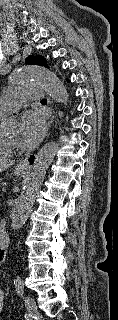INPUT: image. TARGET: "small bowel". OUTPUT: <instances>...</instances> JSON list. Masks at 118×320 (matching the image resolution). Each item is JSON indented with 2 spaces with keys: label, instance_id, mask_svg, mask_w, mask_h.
<instances>
[{
  "label": "small bowel",
  "instance_id": "small-bowel-1",
  "mask_svg": "<svg viewBox=\"0 0 118 320\" xmlns=\"http://www.w3.org/2000/svg\"><path fill=\"white\" fill-rule=\"evenodd\" d=\"M4 309V293L2 290V286L0 284V313L3 311Z\"/></svg>",
  "mask_w": 118,
  "mask_h": 320
}]
</instances>
